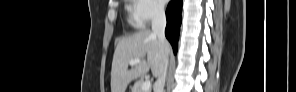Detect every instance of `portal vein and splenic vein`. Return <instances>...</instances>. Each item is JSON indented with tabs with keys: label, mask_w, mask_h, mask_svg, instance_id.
<instances>
[{
	"label": "portal vein and splenic vein",
	"mask_w": 296,
	"mask_h": 92,
	"mask_svg": "<svg viewBox=\"0 0 296 92\" xmlns=\"http://www.w3.org/2000/svg\"><path fill=\"white\" fill-rule=\"evenodd\" d=\"M140 63V59H133L129 62L130 66H133L135 64ZM151 88V82L149 80L144 81L143 85H142V90L144 92H146L147 90H149Z\"/></svg>",
	"instance_id": "18ae733b"
}]
</instances>
